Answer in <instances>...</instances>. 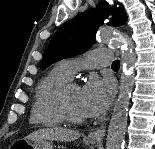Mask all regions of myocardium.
Instances as JSON below:
<instances>
[{
	"label": "myocardium",
	"instance_id": "myocardium-1",
	"mask_svg": "<svg viewBox=\"0 0 155 149\" xmlns=\"http://www.w3.org/2000/svg\"><path fill=\"white\" fill-rule=\"evenodd\" d=\"M73 86L77 85L72 81H69L60 88L58 93V106L66 121L73 124H82L86 122L87 118L74 114L67 101V93Z\"/></svg>",
	"mask_w": 155,
	"mask_h": 149
}]
</instances>
